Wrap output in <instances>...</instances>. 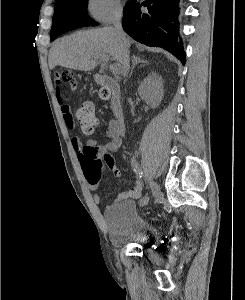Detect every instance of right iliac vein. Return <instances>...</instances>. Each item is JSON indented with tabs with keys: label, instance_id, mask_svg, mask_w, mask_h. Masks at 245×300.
<instances>
[{
	"label": "right iliac vein",
	"instance_id": "1",
	"mask_svg": "<svg viewBox=\"0 0 245 300\" xmlns=\"http://www.w3.org/2000/svg\"><path fill=\"white\" fill-rule=\"evenodd\" d=\"M151 189H152L153 196L157 197L160 193L158 185L152 186Z\"/></svg>",
	"mask_w": 245,
	"mask_h": 300
}]
</instances>
